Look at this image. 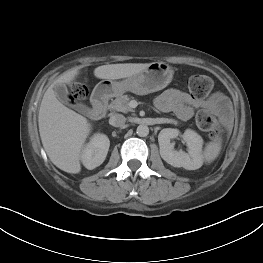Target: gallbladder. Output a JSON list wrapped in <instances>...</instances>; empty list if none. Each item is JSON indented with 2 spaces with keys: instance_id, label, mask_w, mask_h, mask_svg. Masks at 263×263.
<instances>
[{
  "instance_id": "1",
  "label": "gallbladder",
  "mask_w": 263,
  "mask_h": 263,
  "mask_svg": "<svg viewBox=\"0 0 263 263\" xmlns=\"http://www.w3.org/2000/svg\"><path fill=\"white\" fill-rule=\"evenodd\" d=\"M54 92L57 96V98L64 104H69V98H68V90L64 84L56 85L54 87ZM76 111L86 114L88 112V108L80 103H77L72 106Z\"/></svg>"
}]
</instances>
